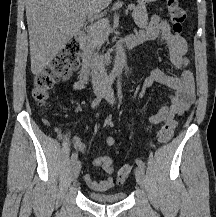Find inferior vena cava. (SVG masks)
<instances>
[{"instance_id":"obj_1","label":"inferior vena cava","mask_w":216,"mask_h":217,"mask_svg":"<svg viewBox=\"0 0 216 217\" xmlns=\"http://www.w3.org/2000/svg\"><path fill=\"white\" fill-rule=\"evenodd\" d=\"M92 84L94 88L103 87L108 81L107 71L101 55L95 54L92 63Z\"/></svg>"}]
</instances>
